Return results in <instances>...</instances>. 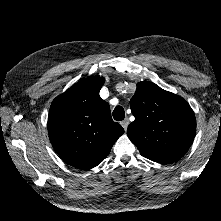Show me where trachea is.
<instances>
[{"mask_svg": "<svg viewBox=\"0 0 221 221\" xmlns=\"http://www.w3.org/2000/svg\"><path fill=\"white\" fill-rule=\"evenodd\" d=\"M113 118L116 121H122L125 118V111L122 106H116L113 111Z\"/></svg>", "mask_w": 221, "mask_h": 221, "instance_id": "obj_1", "label": "trachea"}]
</instances>
